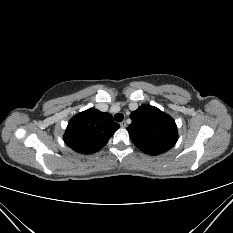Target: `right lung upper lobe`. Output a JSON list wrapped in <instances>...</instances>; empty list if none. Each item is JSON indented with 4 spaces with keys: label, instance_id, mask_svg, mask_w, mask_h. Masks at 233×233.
<instances>
[{
    "label": "right lung upper lobe",
    "instance_id": "1",
    "mask_svg": "<svg viewBox=\"0 0 233 233\" xmlns=\"http://www.w3.org/2000/svg\"><path fill=\"white\" fill-rule=\"evenodd\" d=\"M119 127L109 113L90 108L71 118L63 139L74 151L91 154L105 146Z\"/></svg>",
    "mask_w": 233,
    "mask_h": 233
}]
</instances>
